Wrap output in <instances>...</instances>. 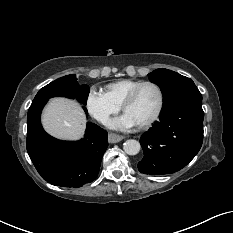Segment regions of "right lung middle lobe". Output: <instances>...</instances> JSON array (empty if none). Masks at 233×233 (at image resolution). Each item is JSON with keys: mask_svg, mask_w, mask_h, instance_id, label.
Masks as SVG:
<instances>
[{"mask_svg": "<svg viewBox=\"0 0 233 233\" xmlns=\"http://www.w3.org/2000/svg\"><path fill=\"white\" fill-rule=\"evenodd\" d=\"M89 94V87L86 85L79 86L76 75L71 74L61 77L48 85L44 86L36 94L33 102L41 99H49L55 96L76 98L79 102L86 104Z\"/></svg>", "mask_w": 233, "mask_h": 233, "instance_id": "right-lung-middle-lobe-1", "label": "right lung middle lobe"}]
</instances>
